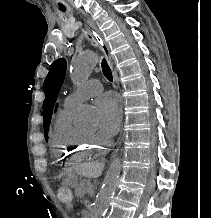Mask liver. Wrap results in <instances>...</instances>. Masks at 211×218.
I'll return each instance as SVG.
<instances>
[{
    "instance_id": "liver-1",
    "label": "liver",
    "mask_w": 211,
    "mask_h": 218,
    "mask_svg": "<svg viewBox=\"0 0 211 218\" xmlns=\"http://www.w3.org/2000/svg\"><path fill=\"white\" fill-rule=\"evenodd\" d=\"M104 164H98V162H90V164H84L81 166L80 174L85 176V178H99L102 174Z\"/></svg>"
}]
</instances>
